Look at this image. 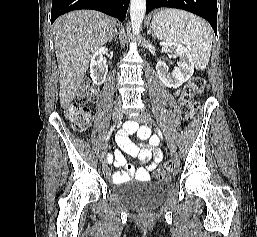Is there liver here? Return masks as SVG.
Masks as SVG:
<instances>
[{"instance_id": "liver-1", "label": "liver", "mask_w": 257, "mask_h": 237, "mask_svg": "<svg viewBox=\"0 0 257 237\" xmlns=\"http://www.w3.org/2000/svg\"><path fill=\"white\" fill-rule=\"evenodd\" d=\"M116 30L115 21L98 11H73L54 24L55 52L59 68L60 105L70 106L78 93L93 54Z\"/></svg>"}]
</instances>
